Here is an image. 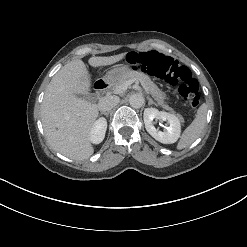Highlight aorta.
I'll return each mask as SVG.
<instances>
[{
    "label": "aorta",
    "instance_id": "obj_1",
    "mask_svg": "<svg viewBox=\"0 0 247 247\" xmlns=\"http://www.w3.org/2000/svg\"><path fill=\"white\" fill-rule=\"evenodd\" d=\"M144 97L142 96V94H132L130 97H129V103H130V106L133 107V108H141L143 105H144Z\"/></svg>",
    "mask_w": 247,
    "mask_h": 247
}]
</instances>
